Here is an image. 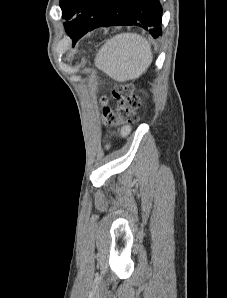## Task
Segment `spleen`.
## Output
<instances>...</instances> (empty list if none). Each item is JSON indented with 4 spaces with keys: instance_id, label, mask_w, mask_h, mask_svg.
<instances>
[{
    "instance_id": "1",
    "label": "spleen",
    "mask_w": 227,
    "mask_h": 298,
    "mask_svg": "<svg viewBox=\"0 0 227 298\" xmlns=\"http://www.w3.org/2000/svg\"><path fill=\"white\" fill-rule=\"evenodd\" d=\"M153 59L149 42L136 33H121L107 40L95 58V65L117 81L138 78Z\"/></svg>"
}]
</instances>
